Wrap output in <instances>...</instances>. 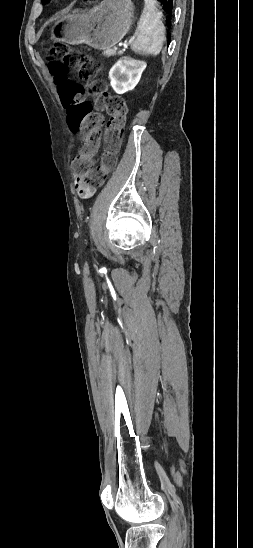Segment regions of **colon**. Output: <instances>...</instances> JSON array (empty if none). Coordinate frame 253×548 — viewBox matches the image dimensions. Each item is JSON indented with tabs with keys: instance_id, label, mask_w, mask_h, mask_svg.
<instances>
[{
	"instance_id": "colon-1",
	"label": "colon",
	"mask_w": 253,
	"mask_h": 548,
	"mask_svg": "<svg viewBox=\"0 0 253 548\" xmlns=\"http://www.w3.org/2000/svg\"><path fill=\"white\" fill-rule=\"evenodd\" d=\"M48 56L52 80L58 87L57 93L67 111L70 126L73 131L83 133L73 159V171L90 186H101L117 163L127 115L125 100L108 92L105 82L97 78L99 66L87 53L57 43L49 50ZM68 72L74 73L84 84L74 83ZM86 95L93 97V104L86 100ZM103 112L108 114L109 120L103 134V153L95 166L93 159L98 152Z\"/></svg>"
}]
</instances>
